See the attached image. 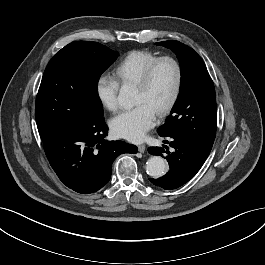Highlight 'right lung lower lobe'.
Returning <instances> with one entry per match:
<instances>
[{
    "label": "right lung lower lobe",
    "mask_w": 265,
    "mask_h": 265,
    "mask_svg": "<svg viewBox=\"0 0 265 265\" xmlns=\"http://www.w3.org/2000/svg\"><path fill=\"white\" fill-rule=\"evenodd\" d=\"M107 133L102 117L43 141L51 167L68 188L82 194L98 191L110 180L115 158L137 152L123 141L104 140Z\"/></svg>",
    "instance_id": "right-lung-lower-lobe-1"
}]
</instances>
